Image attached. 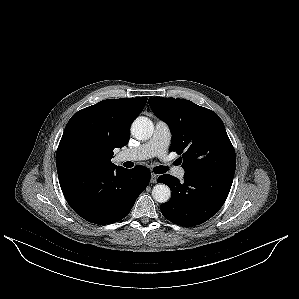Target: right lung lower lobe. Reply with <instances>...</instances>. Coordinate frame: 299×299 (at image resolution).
Returning a JSON list of instances; mask_svg holds the SVG:
<instances>
[{"label":"right lung lower lobe","instance_id":"right-lung-lower-lobe-1","mask_svg":"<svg viewBox=\"0 0 299 299\" xmlns=\"http://www.w3.org/2000/svg\"><path fill=\"white\" fill-rule=\"evenodd\" d=\"M62 192L72 209L88 222L105 225L128 215L150 181V171L137 165L58 171Z\"/></svg>","mask_w":299,"mask_h":299}]
</instances>
